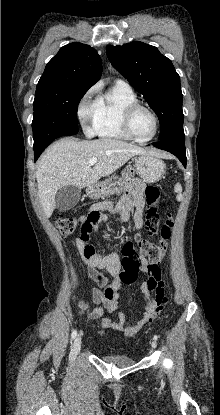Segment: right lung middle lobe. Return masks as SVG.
I'll return each instance as SVG.
<instances>
[{
  "mask_svg": "<svg viewBox=\"0 0 220 415\" xmlns=\"http://www.w3.org/2000/svg\"><path fill=\"white\" fill-rule=\"evenodd\" d=\"M88 89L67 84L37 85L32 121L34 150L78 132L77 108Z\"/></svg>",
  "mask_w": 220,
  "mask_h": 415,
  "instance_id": "right-lung-middle-lobe-1",
  "label": "right lung middle lobe"
}]
</instances>
